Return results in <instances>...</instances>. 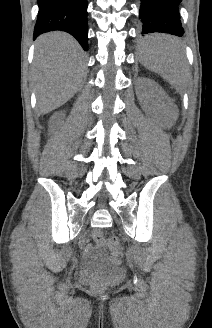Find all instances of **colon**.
Returning a JSON list of instances; mask_svg holds the SVG:
<instances>
[{"mask_svg": "<svg viewBox=\"0 0 212 328\" xmlns=\"http://www.w3.org/2000/svg\"><path fill=\"white\" fill-rule=\"evenodd\" d=\"M96 241L99 244L107 246L112 252V260L116 263L121 262L123 258V252L119 240L116 237L104 238L101 235H96ZM101 287V286H99Z\"/></svg>", "mask_w": 212, "mask_h": 328, "instance_id": "5ec220e1", "label": "colon"}]
</instances>
